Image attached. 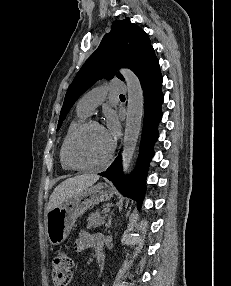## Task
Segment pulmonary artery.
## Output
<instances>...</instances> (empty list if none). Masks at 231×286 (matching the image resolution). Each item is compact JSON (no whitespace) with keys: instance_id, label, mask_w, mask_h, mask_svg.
Listing matches in <instances>:
<instances>
[{"instance_id":"e3ab8cb5","label":"pulmonary artery","mask_w":231,"mask_h":286,"mask_svg":"<svg viewBox=\"0 0 231 286\" xmlns=\"http://www.w3.org/2000/svg\"><path fill=\"white\" fill-rule=\"evenodd\" d=\"M127 87L121 80H112L105 86L97 87L84 94L77 104V109L86 115L93 113L95 108L100 105L108 93H125Z\"/></svg>"}]
</instances>
